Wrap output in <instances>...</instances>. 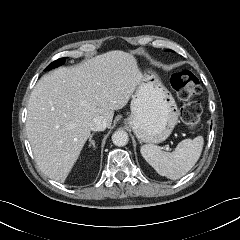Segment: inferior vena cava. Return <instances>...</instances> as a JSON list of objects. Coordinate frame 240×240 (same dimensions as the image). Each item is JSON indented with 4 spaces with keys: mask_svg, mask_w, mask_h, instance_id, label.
Instances as JSON below:
<instances>
[{
    "mask_svg": "<svg viewBox=\"0 0 240 240\" xmlns=\"http://www.w3.org/2000/svg\"><path fill=\"white\" fill-rule=\"evenodd\" d=\"M89 126L92 131H103L107 127V121L104 117L97 116L91 120Z\"/></svg>",
    "mask_w": 240,
    "mask_h": 240,
    "instance_id": "602c4592",
    "label": "inferior vena cava"
}]
</instances>
